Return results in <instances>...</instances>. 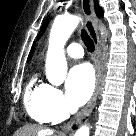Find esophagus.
Returning <instances> with one entry per match:
<instances>
[{
  "instance_id": "obj_1",
  "label": "esophagus",
  "mask_w": 136,
  "mask_h": 136,
  "mask_svg": "<svg viewBox=\"0 0 136 136\" xmlns=\"http://www.w3.org/2000/svg\"><path fill=\"white\" fill-rule=\"evenodd\" d=\"M81 6H82V11L85 17V28L95 45L94 63L96 68V87L87 105L74 117L72 121H70L64 127V130L66 131L70 130L71 126L74 123L78 122L84 116L88 115L94 108L97 101L98 93L100 90V83H101V76H102V70H101V65L99 61L100 54H101V45H100V39L96 29L97 20L94 13L92 0H81Z\"/></svg>"
}]
</instances>
